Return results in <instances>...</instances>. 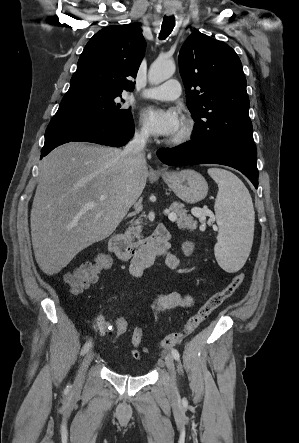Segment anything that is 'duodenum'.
Here are the masks:
<instances>
[{
  "instance_id": "duodenum-1",
  "label": "duodenum",
  "mask_w": 299,
  "mask_h": 443,
  "mask_svg": "<svg viewBox=\"0 0 299 443\" xmlns=\"http://www.w3.org/2000/svg\"><path fill=\"white\" fill-rule=\"evenodd\" d=\"M169 231L163 227H157L148 238L141 241H131L121 234L115 233L110 236L108 246L122 261L148 267L158 257L168 251Z\"/></svg>"
}]
</instances>
